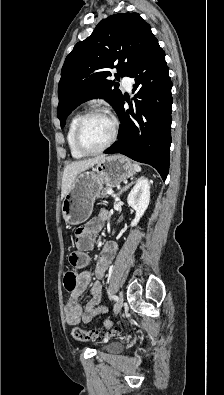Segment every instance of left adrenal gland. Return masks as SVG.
<instances>
[{"instance_id":"left-adrenal-gland-1","label":"left adrenal gland","mask_w":224,"mask_h":395,"mask_svg":"<svg viewBox=\"0 0 224 395\" xmlns=\"http://www.w3.org/2000/svg\"><path fill=\"white\" fill-rule=\"evenodd\" d=\"M133 184V182L129 183L128 185H126L125 187H123L119 193L118 196H120L124 191H126L131 185Z\"/></svg>"}]
</instances>
